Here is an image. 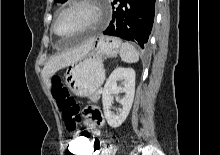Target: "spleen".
<instances>
[{"instance_id":"1","label":"spleen","mask_w":220,"mask_h":155,"mask_svg":"<svg viewBox=\"0 0 220 155\" xmlns=\"http://www.w3.org/2000/svg\"><path fill=\"white\" fill-rule=\"evenodd\" d=\"M120 57L122 61L126 63H135L139 60L138 52L128 42L122 43L120 48Z\"/></svg>"}]
</instances>
